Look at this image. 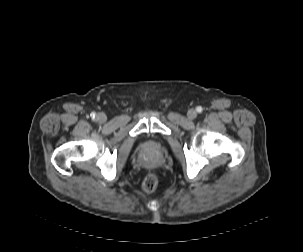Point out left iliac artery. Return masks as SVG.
<instances>
[{
    "mask_svg": "<svg viewBox=\"0 0 303 252\" xmlns=\"http://www.w3.org/2000/svg\"><path fill=\"white\" fill-rule=\"evenodd\" d=\"M197 112H202V108L201 107H197Z\"/></svg>",
    "mask_w": 303,
    "mask_h": 252,
    "instance_id": "left-iliac-artery-1",
    "label": "left iliac artery"
}]
</instances>
